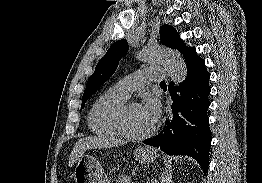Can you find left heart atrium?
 Returning a JSON list of instances; mask_svg holds the SVG:
<instances>
[{
  "instance_id": "obj_1",
  "label": "left heart atrium",
  "mask_w": 262,
  "mask_h": 183,
  "mask_svg": "<svg viewBox=\"0 0 262 183\" xmlns=\"http://www.w3.org/2000/svg\"><path fill=\"white\" fill-rule=\"evenodd\" d=\"M140 106L141 113L149 125L154 126L159 119L160 108L155 99L147 96Z\"/></svg>"
}]
</instances>
